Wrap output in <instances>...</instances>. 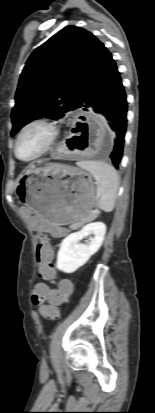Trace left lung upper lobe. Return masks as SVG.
Here are the masks:
<instances>
[{
	"instance_id": "obj_1",
	"label": "left lung upper lobe",
	"mask_w": 155,
	"mask_h": 413,
	"mask_svg": "<svg viewBox=\"0 0 155 413\" xmlns=\"http://www.w3.org/2000/svg\"><path fill=\"white\" fill-rule=\"evenodd\" d=\"M107 52L92 33L72 25L36 48L20 76L11 136L34 119L57 120L80 108Z\"/></svg>"
}]
</instances>
